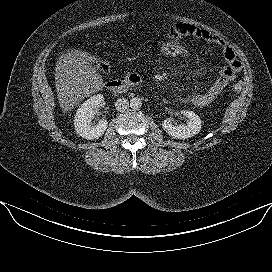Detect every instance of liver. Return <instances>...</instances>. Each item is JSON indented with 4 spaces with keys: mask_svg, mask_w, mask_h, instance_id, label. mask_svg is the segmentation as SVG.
<instances>
[{
    "mask_svg": "<svg viewBox=\"0 0 272 272\" xmlns=\"http://www.w3.org/2000/svg\"><path fill=\"white\" fill-rule=\"evenodd\" d=\"M55 85L60 107L68 112L84 98L99 91L103 79L89 63L68 52L56 63Z\"/></svg>",
    "mask_w": 272,
    "mask_h": 272,
    "instance_id": "liver-1",
    "label": "liver"
}]
</instances>
